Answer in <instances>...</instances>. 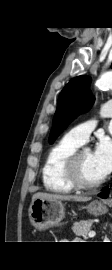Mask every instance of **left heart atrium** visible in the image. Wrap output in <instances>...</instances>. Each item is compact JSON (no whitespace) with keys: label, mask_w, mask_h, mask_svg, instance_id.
Returning <instances> with one entry per match:
<instances>
[{"label":"left heart atrium","mask_w":112,"mask_h":270,"mask_svg":"<svg viewBox=\"0 0 112 270\" xmlns=\"http://www.w3.org/2000/svg\"><path fill=\"white\" fill-rule=\"evenodd\" d=\"M95 165L102 177L112 171V140L102 137L93 152Z\"/></svg>","instance_id":"left-heart-atrium-1"}]
</instances>
